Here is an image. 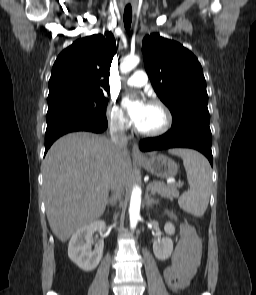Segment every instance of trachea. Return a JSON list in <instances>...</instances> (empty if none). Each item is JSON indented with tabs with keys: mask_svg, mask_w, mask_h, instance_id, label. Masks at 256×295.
Masks as SVG:
<instances>
[{
	"mask_svg": "<svg viewBox=\"0 0 256 295\" xmlns=\"http://www.w3.org/2000/svg\"><path fill=\"white\" fill-rule=\"evenodd\" d=\"M132 22V8L131 5L128 4L124 10V26L127 31H129Z\"/></svg>",
	"mask_w": 256,
	"mask_h": 295,
	"instance_id": "trachea-1",
	"label": "trachea"
}]
</instances>
